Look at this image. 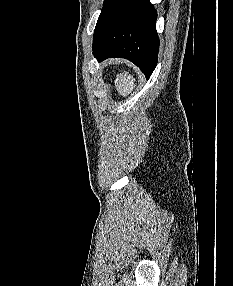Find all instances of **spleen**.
Segmentation results:
<instances>
[{"mask_svg":"<svg viewBox=\"0 0 233 286\" xmlns=\"http://www.w3.org/2000/svg\"><path fill=\"white\" fill-rule=\"evenodd\" d=\"M114 83H115V88L117 92L123 97H126L130 93H132V91L134 90L136 86L133 75L129 74V72L127 71L117 74Z\"/></svg>","mask_w":233,"mask_h":286,"instance_id":"obj_1","label":"spleen"}]
</instances>
